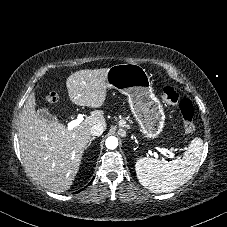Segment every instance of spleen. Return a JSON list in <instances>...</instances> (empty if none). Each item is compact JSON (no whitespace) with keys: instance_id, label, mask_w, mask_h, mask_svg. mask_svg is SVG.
Returning <instances> with one entry per match:
<instances>
[{"instance_id":"obj_1","label":"spleen","mask_w":227,"mask_h":227,"mask_svg":"<svg viewBox=\"0 0 227 227\" xmlns=\"http://www.w3.org/2000/svg\"><path fill=\"white\" fill-rule=\"evenodd\" d=\"M202 149L203 140L195 138L182 159L168 162L147 157L139 158L135 170L140 184L153 193H167L180 188L197 170Z\"/></svg>"}]
</instances>
